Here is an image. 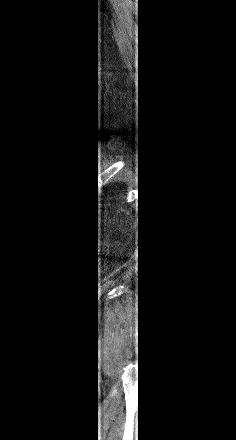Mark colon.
<instances>
[{
    "label": "colon",
    "mask_w": 236,
    "mask_h": 440,
    "mask_svg": "<svg viewBox=\"0 0 236 440\" xmlns=\"http://www.w3.org/2000/svg\"><path fill=\"white\" fill-rule=\"evenodd\" d=\"M84 212H87V209H84Z\"/></svg>",
    "instance_id": "5ec220e1"
}]
</instances>
